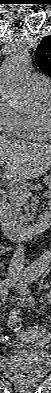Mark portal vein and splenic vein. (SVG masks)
<instances>
[{
    "label": "portal vein and splenic vein",
    "instance_id": "18ae733b",
    "mask_svg": "<svg viewBox=\"0 0 51 393\" xmlns=\"http://www.w3.org/2000/svg\"><path fill=\"white\" fill-rule=\"evenodd\" d=\"M8 187L10 188L11 191L23 192L26 197L30 196L28 189L23 186H19L17 184H9Z\"/></svg>",
    "mask_w": 51,
    "mask_h": 393
}]
</instances>
